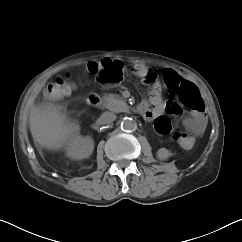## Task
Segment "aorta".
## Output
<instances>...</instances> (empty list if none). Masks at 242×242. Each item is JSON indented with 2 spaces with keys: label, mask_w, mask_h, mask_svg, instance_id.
Wrapping results in <instances>:
<instances>
[{
  "label": "aorta",
  "mask_w": 242,
  "mask_h": 242,
  "mask_svg": "<svg viewBox=\"0 0 242 242\" xmlns=\"http://www.w3.org/2000/svg\"><path fill=\"white\" fill-rule=\"evenodd\" d=\"M121 128L124 131H134L137 128L136 122L132 118H124L121 122Z\"/></svg>",
  "instance_id": "1"
}]
</instances>
